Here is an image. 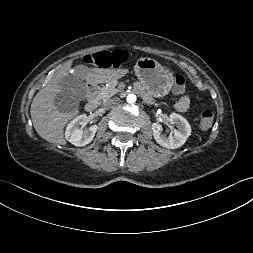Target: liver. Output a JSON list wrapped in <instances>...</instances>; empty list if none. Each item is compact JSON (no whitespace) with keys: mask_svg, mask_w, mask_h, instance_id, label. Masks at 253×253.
Wrapping results in <instances>:
<instances>
[{"mask_svg":"<svg viewBox=\"0 0 253 253\" xmlns=\"http://www.w3.org/2000/svg\"><path fill=\"white\" fill-rule=\"evenodd\" d=\"M72 61H68L59 68L53 76L49 84L40 90L34 97L30 114L33 126L40 137L44 140L65 145L64 127L79 111L78 108L73 113L59 111L54 105L55 95L62 90L60 82L68 77L71 71L73 74L85 80L90 85L100 83H111L123 75L120 69H100L88 68L84 65H78L74 69L71 68Z\"/></svg>","mask_w":253,"mask_h":253,"instance_id":"1","label":"liver"}]
</instances>
